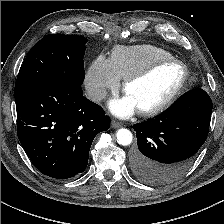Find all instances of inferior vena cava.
Here are the masks:
<instances>
[{"label":"inferior vena cava","instance_id":"1","mask_svg":"<svg viewBox=\"0 0 224 224\" xmlns=\"http://www.w3.org/2000/svg\"><path fill=\"white\" fill-rule=\"evenodd\" d=\"M107 95V92L104 88H89L87 89V96L93 102H99L103 100Z\"/></svg>","mask_w":224,"mask_h":224}]
</instances>
